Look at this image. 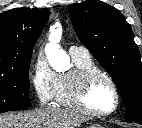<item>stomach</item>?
Instances as JSON below:
<instances>
[{
	"label": "stomach",
	"instance_id": "0dacf381",
	"mask_svg": "<svg viewBox=\"0 0 142 128\" xmlns=\"http://www.w3.org/2000/svg\"><path fill=\"white\" fill-rule=\"evenodd\" d=\"M88 128H103V127L98 124H93V125H90Z\"/></svg>",
	"mask_w": 142,
	"mask_h": 128
}]
</instances>
